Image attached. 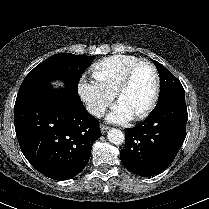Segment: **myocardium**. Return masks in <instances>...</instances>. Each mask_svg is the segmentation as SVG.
<instances>
[{
	"label": "myocardium",
	"instance_id": "1",
	"mask_svg": "<svg viewBox=\"0 0 209 209\" xmlns=\"http://www.w3.org/2000/svg\"><path fill=\"white\" fill-rule=\"evenodd\" d=\"M142 65H146L152 70L154 79H155V85H154V91H153V95H152L150 102L142 111H140L138 114L134 116L136 120H140V119L147 117L157 104V101L160 95L161 82H160V75L158 73L156 66L150 61L139 60L126 71L125 75L123 76V78L121 79L120 83L118 84L115 90V98L116 100H118L122 92L125 91L127 87L130 85L133 75L136 72V70Z\"/></svg>",
	"mask_w": 209,
	"mask_h": 209
}]
</instances>
